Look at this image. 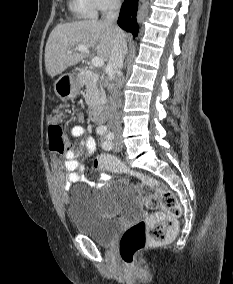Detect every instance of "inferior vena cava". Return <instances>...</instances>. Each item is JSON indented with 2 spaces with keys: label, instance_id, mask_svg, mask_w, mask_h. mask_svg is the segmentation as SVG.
<instances>
[{
  "label": "inferior vena cava",
  "instance_id": "1",
  "mask_svg": "<svg viewBox=\"0 0 233 284\" xmlns=\"http://www.w3.org/2000/svg\"><path fill=\"white\" fill-rule=\"evenodd\" d=\"M120 11V0H111L108 12L105 17V22L116 27V21ZM127 42L122 30L116 27L114 47L108 62L107 73L110 80L115 79L120 74V69L123 68V60L127 54ZM112 95L109 97V103L111 105V115L109 117L108 126L114 130L115 133H119L121 130V121L117 116V99L118 93L116 88H110Z\"/></svg>",
  "mask_w": 233,
  "mask_h": 284
}]
</instances>
